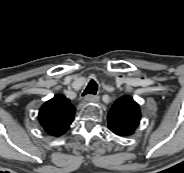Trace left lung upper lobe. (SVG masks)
Returning <instances> with one entry per match:
<instances>
[{
	"label": "left lung upper lobe",
	"instance_id": "left-lung-upper-lobe-1",
	"mask_svg": "<svg viewBox=\"0 0 184 173\" xmlns=\"http://www.w3.org/2000/svg\"><path fill=\"white\" fill-rule=\"evenodd\" d=\"M141 113L138 104L128 95L120 97L108 113V127L116 135L127 137L138 127Z\"/></svg>",
	"mask_w": 184,
	"mask_h": 173
}]
</instances>
